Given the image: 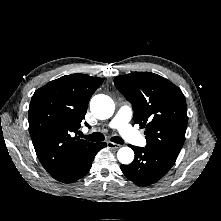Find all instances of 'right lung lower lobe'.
<instances>
[{"instance_id": "obj_1", "label": "right lung lower lobe", "mask_w": 221, "mask_h": 221, "mask_svg": "<svg viewBox=\"0 0 221 221\" xmlns=\"http://www.w3.org/2000/svg\"><path fill=\"white\" fill-rule=\"evenodd\" d=\"M105 146L107 144L104 142L101 144L94 143L79 158L61 166L50 173V175L54 179L64 183H71L82 178L89 172L95 155Z\"/></svg>"}]
</instances>
